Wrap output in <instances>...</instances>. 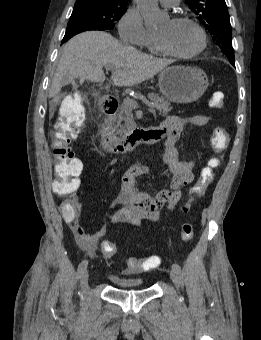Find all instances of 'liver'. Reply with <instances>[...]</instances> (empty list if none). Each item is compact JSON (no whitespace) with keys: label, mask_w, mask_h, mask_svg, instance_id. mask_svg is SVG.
<instances>
[{"label":"liver","mask_w":261,"mask_h":340,"mask_svg":"<svg viewBox=\"0 0 261 340\" xmlns=\"http://www.w3.org/2000/svg\"><path fill=\"white\" fill-rule=\"evenodd\" d=\"M171 63V60L154 58L134 47L124 46L109 33L87 31L66 43L49 96L53 103L60 102L62 87L77 77L89 82H104L103 67L106 66L114 69L111 77L113 85L130 87L154 77Z\"/></svg>","instance_id":"1"}]
</instances>
